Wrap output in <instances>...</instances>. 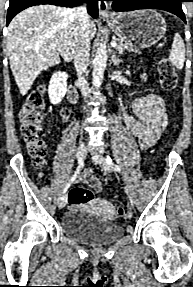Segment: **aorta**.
Masks as SVG:
<instances>
[{
  "mask_svg": "<svg viewBox=\"0 0 193 287\" xmlns=\"http://www.w3.org/2000/svg\"><path fill=\"white\" fill-rule=\"evenodd\" d=\"M107 63V50L104 43H99L95 58L93 61V86L99 89L102 85L104 71Z\"/></svg>",
  "mask_w": 193,
  "mask_h": 287,
  "instance_id": "obj_1",
  "label": "aorta"
}]
</instances>
